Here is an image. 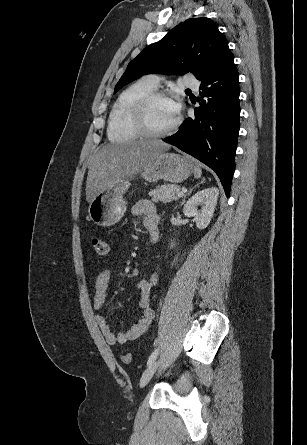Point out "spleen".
<instances>
[{
	"instance_id": "obj_1",
	"label": "spleen",
	"mask_w": 307,
	"mask_h": 445,
	"mask_svg": "<svg viewBox=\"0 0 307 445\" xmlns=\"http://www.w3.org/2000/svg\"><path fill=\"white\" fill-rule=\"evenodd\" d=\"M194 176L195 178H200L201 174H202V170L200 168V164H197V166H194Z\"/></svg>"
}]
</instances>
